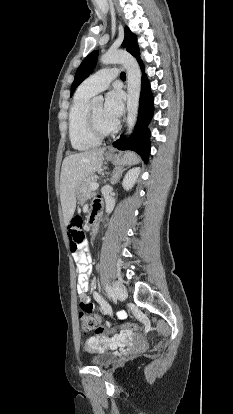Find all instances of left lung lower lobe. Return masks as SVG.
<instances>
[{
    "label": "left lung lower lobe",
    "mask_w": 233,
    "mask_h": 414,
    "mask_svg": "<svg viewBox=\"0 0 233 414\" xmlns=\"http://www.w3.org/2000/svg\"><path fill=\"white\" fill-rule=\"evenodd\" d=\"M139 64L142 69V91L138 121L133 134L128 139H125L122 135L119 140L113 143V145L120 150L135 151L141 156L142 160L147 163L150 153V131L147 126L153 116V96L141 60L139 61Z\"/></svg>",
    "instance_id": "obj_1"
}]
</instances>
